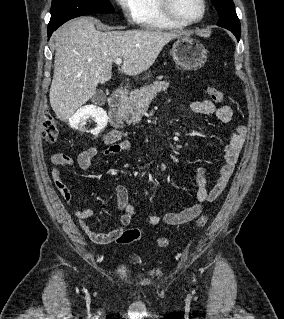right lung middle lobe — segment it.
Returning <instances> with one entry per match:
<instances>
[{
  "label": "right lung middle lobe",
  "mask_w": 284,
  "mask_h": 319,
  "mask_svg": "<svg viewBox=\"0 0 284 319\" xmlns=\"http://www.w3.org/2000/svg\"><path fill=\"white\" fill-rule=\"evenodd\" d=\"M97 12H114V8L109 0H52L48 30L75 17Z\"/></svg>",
  "instance_id": "obj_1"
}]
</instances>
